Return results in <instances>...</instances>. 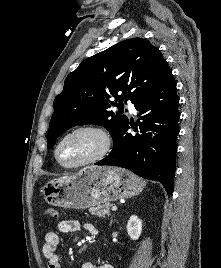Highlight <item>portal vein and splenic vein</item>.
Instances as JSON below:
<instances>
[{"label":"portal vein and splenic vein","instance_id":"obj_1","mask_svg":"<svg viewBox=\"0 0 221 268\" xmlns=\"http://www.w3.org/2000/svg\"><path fill=\"white\" fill-rule=\"evenodd\" d=\"M111 210L112 211H116L117 210V206H112Z\"/></svg>","mask_w":221,"mask_h":268}]
</instances>
